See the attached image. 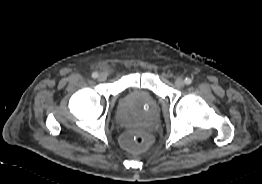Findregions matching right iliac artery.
Returning a JSON list of instances; mask_svg holds the SVG:
<instances>
[{
    "instance_id": "obj_1",
    "label": "right iliac artery",
    "mask_w": 262,
    "mask_h": 184,
    "mask_svg": "<svg viewBox=\"0 0 262 184\" xmlns=\"http://www.w3.org/2000/svg\"><path fill=\"white\" fill-rule=\"evenodd\" d=\"M92 77H93V78H97V77H98V73H97V72H93V73H92Z\"/></svg>"
}]
</instances>
